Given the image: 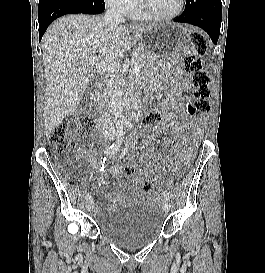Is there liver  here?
I'll return each instance as SVG.
<instances>
[{"label": "liver", "mask_w": 265, "mask_h": 273, "mask_svg": "<svg viewBox=\"0 0 265 273\" xmlns=\"http://www.w3.org/2000/svg\"><path fill=\"white\" fill-rule=\"evenodd\" d=\"M149 26L110 27L101 17L66 15L54 21L43 36L46 92V136L74 110L90 81L89 60L97 57L117 61L135 35Z\"/></svg>", "instance_id": "obj_1"}]
</instances>
